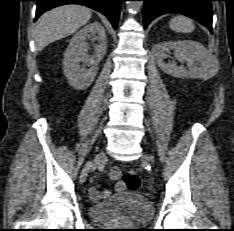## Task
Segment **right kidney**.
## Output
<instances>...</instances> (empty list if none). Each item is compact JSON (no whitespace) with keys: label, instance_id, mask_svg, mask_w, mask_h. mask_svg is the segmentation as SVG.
Masks as SVG:
<instances>
[{"label":"right kidney","instance_id":"ca27d5eb","mask_svg":"<svg viewBox=\"0 0 234 231\" xmlns=\"http://www.w3.org/2000/svg\"><path fill=\"white\" fill-rule=\"evenodd\" d=\"M93 34L97 35L99 44L94 46L95 54L89 57L87 39ZM106 47V32L98 21L86 25L72 37L63 60V72L71 86L83 90L91 85L97 74L98 64L106 54ZM81 61L88 63L90 68L81 67Z\"/></svg>","mask_w":234,"mask_h":231}]
</instances>
